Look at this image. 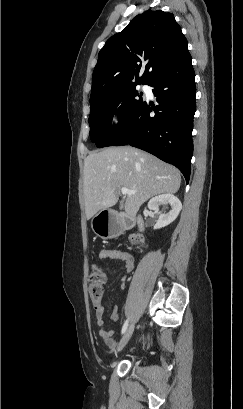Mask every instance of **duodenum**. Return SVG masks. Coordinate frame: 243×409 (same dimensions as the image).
<instances>
[{"mask_svg": "<svg viewBox=\"0 0 243 409\" xmlns=\"http://www.w3.org/2000/svg\"><path fill=\"white\" fill-rule=\"evenodd\" d=\"M132 223L137 224L139 227H143V220H142V218L140 216H135V217H132V218L124 217L122 219V224L125 225V226H128V225H130Z\"/></svg>", "mask_w": 243, "mask_h": 409, "instance_id": "duodenum-1", "label": "duodenum"}]
</instances>
